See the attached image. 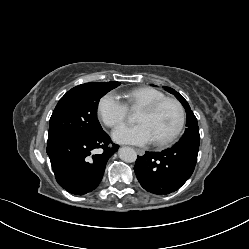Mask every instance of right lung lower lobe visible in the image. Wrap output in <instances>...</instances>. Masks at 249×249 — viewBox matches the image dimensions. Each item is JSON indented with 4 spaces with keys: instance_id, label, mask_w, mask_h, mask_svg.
<instances>
[{
    "instance_id": "1",
    "label": "right lung lower lobe",
    "mask_w": 249,
    "mask_h": 249,
    "mask_svg": "<svg viewBox=\"0 0 249 249\" xmlns=\"http://www.w3.org/2000/svg\"><path fill=\"white\" fill-rule=\"evenodd\" d=\"M105 131L95 136H77L47 146L55 178L69 193L83 195L100 183L108 159L118 149ZM97 149L103 152L95 154Z\"/></svg>"
}]
</instances>
